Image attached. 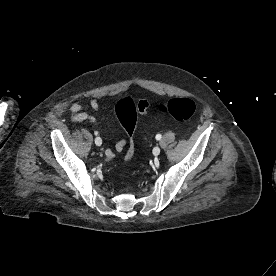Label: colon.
I'll list each match as a JSON object with an SVG mask.
<instances>
[{"mask_svg": "<svg viewBox=\"0 0 276 276\" xmlns=\"http://www.w3.org/2000/svg\"><path fill=\"white\" fill-rule=\"evenodd\" d=\"M149 108V102L145 99L135 103L131 98H122L114 106L115 115L125 129L129 137L128 153L126 160L131 157L134 146V131L136 126L137 115H144ZM162 113L169 114L179 121L188 120L195 111L193 100L185 97H174L166 103L159 105Z\"/></svg>", "mask_w": 276, "mask_h": 276, "instance_id": "1", "label": "colon"}]
</instances>
